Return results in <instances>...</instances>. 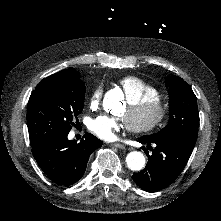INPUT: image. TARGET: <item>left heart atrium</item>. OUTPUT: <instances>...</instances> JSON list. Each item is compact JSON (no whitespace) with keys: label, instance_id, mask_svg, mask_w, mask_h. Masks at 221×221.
Wrapping results in <instances>:
<instances>
[{"label":"left heart atrium","instance_id":"1","mask_svg":"<svg viewBox=\"0 0 221 221\" xmlns=\"http://www.w3.org/2000/svg\"><path fill=\"white\" fill-rule=\"evenodd\" d=\"M90 130L99 138L107 141H115L117 139L118 124L116 121L106 118L98 117L93 119L89 125Z\"/></svg>","mask_w":221,"mask_h":221}]
</instances>
